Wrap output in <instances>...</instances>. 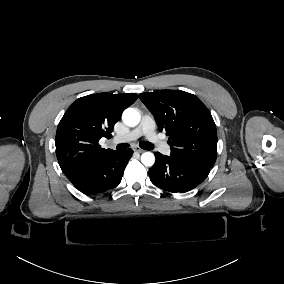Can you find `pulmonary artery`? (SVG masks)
Returning <instances> with one entry per match:
<instances>
[{
    "label": "pulmonary artery",
    "instance_id": "1",
    "mask_svg": "<svg viewBox=\"0 0 284 284\" xmlns=\"http://www.w3.org/2000/svg\"><path fill=\"white\" fill-rule=\"evenodd\" d=\"M156 126L154 122L150 121L147 116L143 118V121L140 126L134 130L129 131L125 135H116L113 137L114 142H127L135 140L142 135L146 136V140L156 147L161 152H166L169 149V143L161 138L154 131Z\"/></svg>",
    "mask_w": 284,
    "mask_h": 284
}]
</instances>
